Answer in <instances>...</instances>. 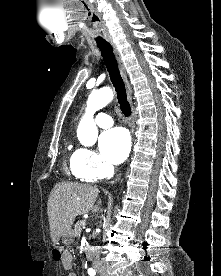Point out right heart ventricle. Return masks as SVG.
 <instances>
[{"mask_svg": "<svg viewBox=\"0 0 221 276\" xmlns=\"http://www.w3.org/2000/svg\"><path fill=\"white\" fill-rule=\"evenodd\" d=\"M67 172L78 179H83L77 164V151L69 155L68 160L65 162Z\"/></svg>", "mask_w": 221, "mask_h": 276, "instance_id": "right-heart-ventricle-1", "label": "right heart ventricle"}]
</instances>
